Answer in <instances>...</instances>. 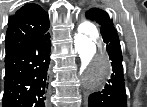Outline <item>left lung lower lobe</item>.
Listing matches in <instances>:
<instances>
[{"mask_svg": "<svg viewBox=\"0 0 147 107\" xmlns=\"http://www.w3.org/2000/svg\"><path fill=\"white\" fill-rule=\"evenodd\" d=\"M112 64L111 78L88 97V107H127L123 76L122 52L113 26L99 27Z\"/></svg>", "mask_w": 147, "mask_h": 107, "instance_id": "left-lung-lower-lobe-1", "label": "left lung lower lobe"}]
</instances>
